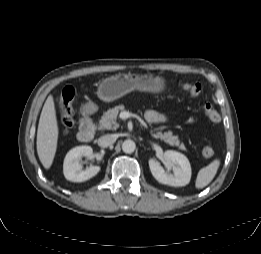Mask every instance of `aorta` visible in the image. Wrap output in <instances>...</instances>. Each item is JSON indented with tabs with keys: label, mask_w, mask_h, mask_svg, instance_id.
Masks as SVG:
<instances>
[{
	"label": "aorta",
	"mask_w": 261,
	"mask_h": 254,
	"mask_svg": "<svg viewBox=\"0 0 261 254\" xmlns=\"http://www.w3.org/2000/svg\"><path fill=\"white\" fill-rule=\"evenodd\" d=\"M135 149H136V144L133 140H125L122 143V150L127 154L133 153Z\"/></svg>",
	"instance_id": "762f6f07"
}]
</instances>
